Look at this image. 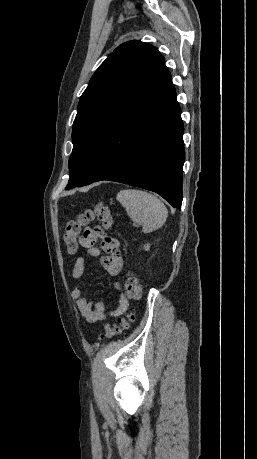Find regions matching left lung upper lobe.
<instances>
[{
  "label": "left lung upper lobe",
  "instance_id": "1",
  "mask_svg": "<svg viewBox=\"0 0 257 459\" xmlns=\"http://www.w3.org/2000/svg\"><path fill=\"white\" fill-rule=\"evenodd\" d=\"M164 64L152 45L128 41L99 66L83 92L72 129L73 153L66 189L92 183L108 157L116 125Z\"/></svg>",
  "mask_w": 257,
  "mask_h": 459
}]
</instances>
